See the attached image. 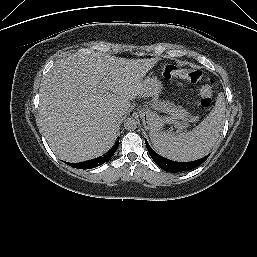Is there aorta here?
Returning a JSON list of instances; mask_svg holds the SVG:
<instances>
[{
	"label": "aorta",
	"instance_id": "1",
	"mask_svg": "<svg viewBox=\"0 0 257 257\" xmlns=\"http://www.w3.org/2000/svg\"><path fill=\"white\" fill-rule=\"evenodd\" d=\"M137 120L135 118H127L125 121H124V127L126 130H129V131H133L137 128Z\"/></svg>",
	"mask_w": 257,
	"mask_h": 257
}]
</instances>
